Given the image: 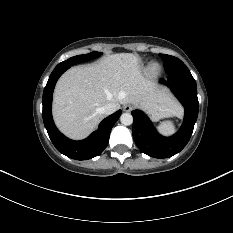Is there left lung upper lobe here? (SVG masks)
Segmentation results:
<instances>
[{"mask_svg": "<svg viewBox=\"0 0 233 233\" xmlns=\"http://www.w3.org/2000/svg\"><path fill=\"white\" fill-rule=\"evenodd\" d=\"M164 61V68L168 75L191 74L187 66L178 58L170 55L160 54Z\"/></svg>", "mask_w": 233, "mask_h": 233, "instance_id": "obj_1", "label": "left lung upper lobe"}]
</instances>
